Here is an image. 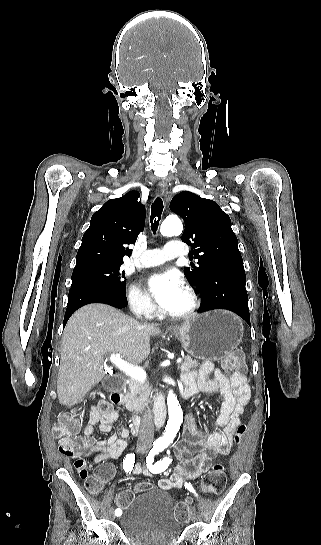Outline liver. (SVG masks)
<instances>
[{"mask_svg":"<svg viewBox=\"0 0 321 545\" xmlns=\"http://www.w3.org/2000/svg\"><path fill=\"white\" fill-rule=\"evenodd\" d=\"M157 325H142L122 311L93 303L70 317L62 335L57 393L60 405H76L105 377V357L118 353L128 363H142L150 353Z\"/></svg>","mask_w":321,"mask_h":545,"instance_id":"1","label":"liver"}]
</instances>
